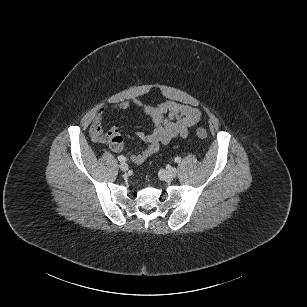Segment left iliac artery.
I'll return each instance as SVG.
<instances>
[{
	"instance_id": "44dca946",
	"label": "left iliac artery",
	"mask_w": 307,
	"mask_h": 307,
	"mask_svg": "<svg viewBox=\"0 0 307 307\" xmlns=\"http://www.w3.org/2000/svg\"><path fill=\"white\" fill-rule=\"evenodd\" d=\"M174 161H175L176 163H180V162H181V158L177 156V157H175Z\"/></svg>"
}]
</instances>
